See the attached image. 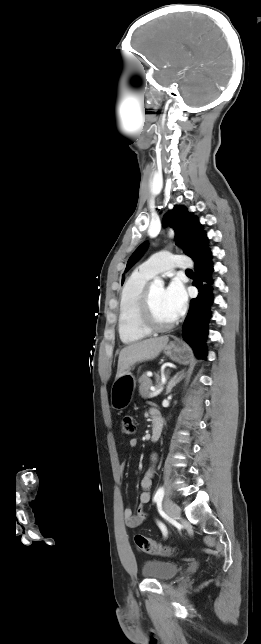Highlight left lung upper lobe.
I'll use <instances>...</instances> for the list:
<instances>
[{
  "label": "left lung upper lobe",
  "mask_w": 261,
  "mask_h": 644,
  "mask_svg": "<svg viewBox=\"0 0 261 644\" xmlns=\"http://www.w3.org/2000/svg\"><path fill=\"white\" fill-rule=\"evenodd\" d=\"M163 225H170L175 230V243L194 262H200L211 254L208 238L201 228L198 219L182 206H175L163 217ZM147 243L141 244L128 260V270L145 252ZM124 281V275L122 277Z\"/></svg>",
  "instance_id": "5c2ea615"
}]
</instances>
